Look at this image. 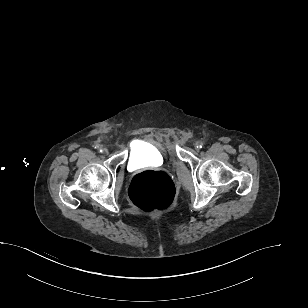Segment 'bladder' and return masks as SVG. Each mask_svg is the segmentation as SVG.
Here are the masks:
<instances>
[{"instance_id":"obj_1","label":"bladder","mask_w":308,"mask_h":308,"mask_svg":"<svg viewBox=\"0 0 308 308\" xmlns=\"http://www.w3.org/2000/svg\"><path fill=\"white\" fill-rule=\"evenodd\" d=\"M165 152V148L157 142L140 140L132 146L129 163L137 167L162 164Z\"/></svg>"}]
</instances>
